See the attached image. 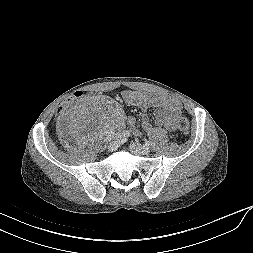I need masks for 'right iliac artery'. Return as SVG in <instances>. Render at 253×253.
<instances>
[{"instance_id":"1","label":"right iliac artery","mask_w":253,"mask_h":253,"mask_svg":"<svg viewBox=\"0 0 253 253\" xmlns=\"http://www.w3.org/2000/svg\"><path fill=\"white\" fill-rule=\"evenodd\" d=\"M120 138H127L130 136V132L129 131H123L120 135Z\"/></svg>"}]
</instances>
